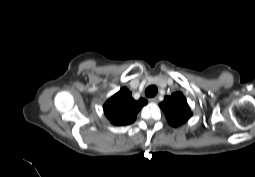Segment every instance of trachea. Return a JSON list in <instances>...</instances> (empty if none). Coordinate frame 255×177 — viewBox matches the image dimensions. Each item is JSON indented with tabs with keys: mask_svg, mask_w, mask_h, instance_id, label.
<instances>
[{
	"mask_svg": "<svg viewBox=\"0 0 255 177\" xmlns=\"http://www.w3.org/2000/svg\"><path fill=\"white\" fill-rule=\"evenodd\" d=\"M158 92V89L155 85H151L149 87H147V89L145 90V95L147 97H154Z\"/></svg>",
	"mask_w": 255,
	"mask_h": 177,
	"instance_id": "obj_1",
	"label": "trachea"
}]
</instances>
